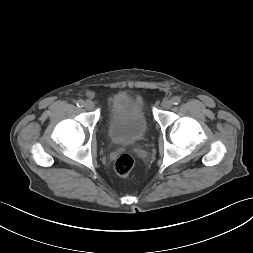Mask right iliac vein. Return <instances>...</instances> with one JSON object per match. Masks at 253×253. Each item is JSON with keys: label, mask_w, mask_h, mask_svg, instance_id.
Wrapping results in <instances>:
<instances>
[{"label": "right iliac vein", "mask_w": 253, "mask_h": 253, "mask_svg": "<svg viewBox=\"0 0 253 253\" xmlns=\"http://www.w3.org/2000/svg\"><path fill=\"white\" fill-rule=\"evenodd\" d=\"M84 107H85V109H87V110H92V109L94 108V103H93V101H91V100H86V101L84 102Z\"/></svg>", "instance_id": "right-iliac-vein-1"}]
</instances>
